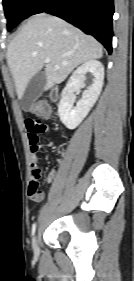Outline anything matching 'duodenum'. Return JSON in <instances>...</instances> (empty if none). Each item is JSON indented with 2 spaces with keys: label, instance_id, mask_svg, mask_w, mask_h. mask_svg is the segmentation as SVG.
<instances>
[{
  "label": "duodenum",
  "instance_id": "410a0bca",
  "mask_svg": "<svg viewBox=\"0 0 134 281\" xmlns=\"http://www.w3.org/2000/svg\"><path fill=\"white\" fill-rule=\"evenodd\" d=\"M58 88L55 87L52 89V91L50 92V98L52 101H56L58 99Z\"/></svg>",
  "mask_w": 134,
  "mask_h": 281
}]
</instances>
